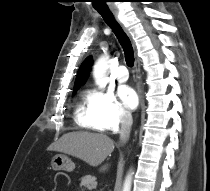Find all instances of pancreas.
Returning a JSON list of instances; mask_svg holds the SVG:
<instances>
[{
	"instance_id": "obj_1",
	"label": "pancreas",
	"mask_w": 210,
	"mask_h": 191,
	"mask_svg": "<svg viewBox=\"0 0 210 191\" xmlns=\"http://www.w3.org/2000/svg\"><path fill=\"white\" fill-rule=\"evenodd\" d=\"M80 186L88 190H93L97 186L96 178L91 175L84 176L81 178Z\"/></svg>"
}]
</instances>
